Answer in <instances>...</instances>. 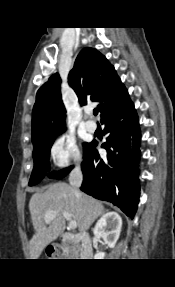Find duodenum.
Returning <instances> with one entry per match:
<instances>
[{
  "instance_id": "1",
  "label": "duodenum",
  "mask_w": 175,
  "mask_h": 287,
  "mask_svg": "<svg viewBox=\"0 0 175 287\" xmlns=\"http://www.w3.org/2000/svg\"><path fill=\"white\" fill-rule=\"evenodd\" d=\"M65 242H77L79 244V254L83 258L92 256L91 239L88 233L66 234L64 235Z\"/></svg>"
}]
</instances>
